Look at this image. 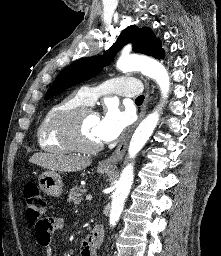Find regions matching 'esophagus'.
I'll use <instances>...</instances> for the list:
<instances>
[{
  "mask_svg": "<svg viewBox=\"0 0 221 256\" xmlns=\"http://www.w3.org/2000/svg\"><path fill=\"white\" fill-rule=\"evenodd\" d=\"M146 87H147V98L141 108V112H140L138 121L126 132V134L124 135V137L122 138L118 147L115 149V151L112 153V155L100 162L101 167L115 168L116 165L118 164V162L123 158L133 130L135 129V127L138 125V123L142 120V118L146 114L148 97H149V85L147 82H146Z\"/></svg>",
  "mask_w": 221,
  "mask_h": 256,
  "instance_id": "1",
  "label": "esophagus"
}]
</instances>
